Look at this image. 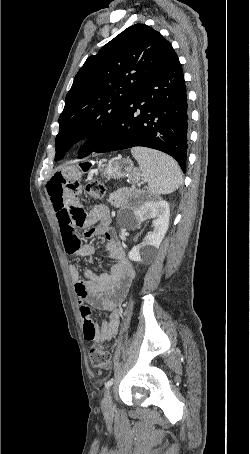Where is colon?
<instances>
[{"mask_svg":"<svg viewBox=\"0 0 250 454\" xmlns=\"http://www.w3.org/2000/svg\"><path fill=\"white\" fill-rule=\"evenodd\" d=\"M106 192L105 186L99 181H91L86 185V193L91 200L101 199ZM89 358L92 367L102 372L110 368L112 363L111 351L99 344H94L89 350Z\"/></svg>","mask_w":250,"mask_h":454,"instance_id":"obj_1","label":"colon"}]
</instances>
